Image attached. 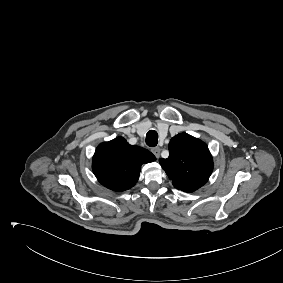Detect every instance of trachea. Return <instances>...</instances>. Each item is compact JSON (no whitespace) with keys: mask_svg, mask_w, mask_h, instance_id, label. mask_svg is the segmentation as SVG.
Instances as JSON below:
<instances>
[{"mask_svg":"<svg viewBox=\"0 0 283 283\" xmlns=\"http://www.w3.org/2000/svg\"><path fill=\"white\" fill-rule=\"evenodd\" d=\"M158 143V133L155 130H150L146 134V144L150 147H155Z\"/></svg>","mask_w":283,"mask_h":283,"instance_id":"trachea-1","label":"trachea"}]
</instances>
